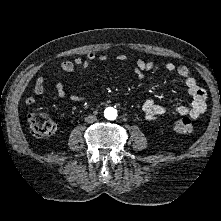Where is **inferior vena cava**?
I'll return each instance as SVG.
<instances>
[{"label":"inferior vena cava","instance_id":"obj_1","mask_svg":"<svg viewBox=\"0 0 221 221\" xmlns=\"http://www.w3.org/2000/svg\"><path fill=\"white\" fill-rule=\"evenodd\" d=\"M97 120V117L94 115H89L87 117H85V122L87 123H93Z\"/></svg>","mask_w":221,"mask_h":221}]
</instances>
